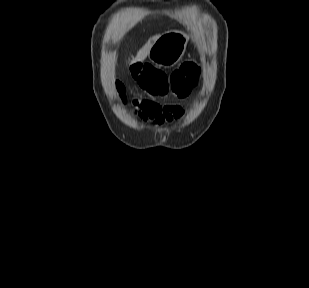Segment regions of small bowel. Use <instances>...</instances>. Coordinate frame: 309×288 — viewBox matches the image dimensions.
Segmentation results:
<instances>
[{"instance_id":"small-bowel-1","label":"small bowel","mask_w":309,"mask_h":288,"mask_svg":"<svg viewBox=\"0 0 309 288\" xmlns=\"http://www.w3.org/2000/svg\"><path fill=\"white\" fill-rule=\"evenodd\" d=\"M142 68L143 70L145 69V67ZM133 106L138 110L139 115L143 119L150 120L159 125L177 119L183 114V110L179 106H160L148 100H136L133 102Z\"/></svg>"}]
</instances>
